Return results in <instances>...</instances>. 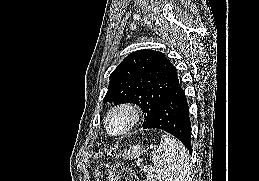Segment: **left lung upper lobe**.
I'll use <instances>...</instances> for the list:
<instances>
[{"label": "left lung upper lobe", "instance_id": "1", "mask_svg": "<svg viewBox=\"0 0 259 181\" xmlns=\"http://www.w3.org/2000/svg\"><path fill=\"white\" fill-rule=\"evenodd\" d=\"M177 84L176 68L163 53L139 50L129 54L111 73L104 103H135L145 113L144 127Z\"/></svg>", "mask_w": 259, "mask_h": 181}]
</instances>
